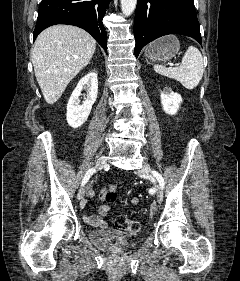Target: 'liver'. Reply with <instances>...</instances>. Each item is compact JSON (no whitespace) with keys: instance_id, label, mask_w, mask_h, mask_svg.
Here are the masks:
<instances>
[{"instance_id":"6515ba94","label":"liver","mask_w":240,"mask_h":281,"mask_svg":"<svg viewBox=\"0 0 240 281\" xmlns=\"http://www.w3.org/2000/svg\"><path fill=\"white\" fill-rule=\"evenodd\" d=\"M96 41L83 29L54 25L39 34L32 48L37 82L47 104H54L70 81L90 62Z\"/></svg>"}]
</instances>
